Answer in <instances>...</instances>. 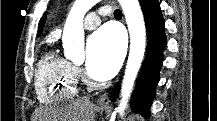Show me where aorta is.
Here are the masks:
<instances>
[{
    "instance_id": "762f6f07",
    "label": "aorta",
    "mask_w": 217,
    "mask_h": 121,
    "mask_svg": "<svg viewBox=\"0 0 217 121\" xmlns=\"http://www.w3.org/2000/svg\"><path fill=\"white\" fill-rule=\"evenodd\" d=\"M99 0H75L64 26L62 43L66 58L84 59L83 18ZM126 18L130 33V52L121 88V100L117 112L122 115L140 69L146 45V30L138 0H118Z\"/></svg>"
}]
</instances>
